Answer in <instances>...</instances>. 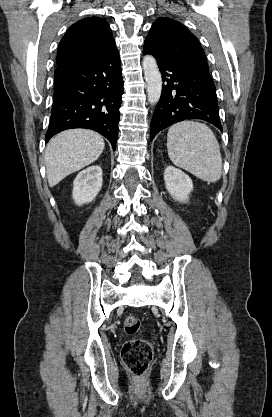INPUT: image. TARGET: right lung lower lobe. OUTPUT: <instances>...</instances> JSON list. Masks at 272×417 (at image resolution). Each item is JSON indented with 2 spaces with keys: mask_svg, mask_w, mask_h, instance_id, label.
Segmentation results:
<instances>
[{
  "mask_svg": "<svg viewBox=\"0 0 272 417\" xmlns=\"http://www.w3.org/2000/svg\"><path fill=\"white\" fill-rule=\"evenodd\" d=\"M123 90L115 44L93 62L57 67L46 142L63 130L87 128L105 136L115 150Z\"/></svg>",
  "mask_w": 272,
  "mask_h": 417,
  "instance_id": "1",
  "label": "right lung lower lobe"
}]
</instances>
